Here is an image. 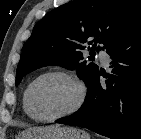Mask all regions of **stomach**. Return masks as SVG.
<instances>
[{
    "label": "stomach",
    "mask_w": 141,
    "mask_h": 139,
    "mask_svg": "<svg viewBox=\"0 0 141 139\" xmlns=\"http://www.w3.org/2000/svg\"><path fill=\"white\" fill-rule=\"evenodd\" d=\"M17 139H90L84 130L70 126L37 127L23 132Z\"/></svg>",
    "instance_id": "obj_1"
}]
</instances>
